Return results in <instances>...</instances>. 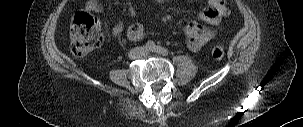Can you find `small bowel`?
Instances as JSON below:
<instances>
[{
  "label": "small bowel",
  "mask_w": 303,
  "mask_h": 127,
  "mask_svg": "<svg viewBox=\"0 0 303 127\" xmlns=\"http://www.w3.org/2000/svg\"><path fill=\"white\" fill-rule=\"evenodd\" d=\"M157 3H162L165 0H154ZM86 9L90 12L100 13L103 9L99 0H89ZM229 8L224 4L223 0H208V7L200 12V18L212 27L220 24L223 17L228 15ZM124 26L122 23H117L112 28V34L119 36L123 33ZM185 34L188 38V48L192 52L199 51L204 45L211 41L215 32L211 28H203L195 21L189 22L185 27ZM144 36V27L141 23L132 24L127 30V37L131 41H139Z\"/></svg>",
  "instance_id": "c3829d8e"
}]
</instances>
